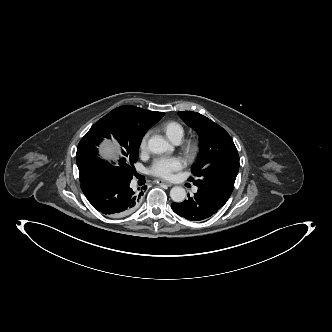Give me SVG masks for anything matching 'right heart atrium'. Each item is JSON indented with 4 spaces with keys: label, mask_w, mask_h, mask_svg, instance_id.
Returning a JSON list of instances; mask_svg holds the SVG:
<instances>
[{
    "label": "right heart atrium",
    "mask_w": 332,
    "mask_h": 332,
    "mask_svg": "<svg viewBox=\"0 0 332 332\" xmlns=\"http://www.w3.org/2000/svg\"><path fill=\"white\" fill-rule=\"evenodd\" d=\"M149 134H145L140 142V150L145 151L147 149V141Z\"/></svg>",
    "instance_id": "obj_1"
}]
</instances>
